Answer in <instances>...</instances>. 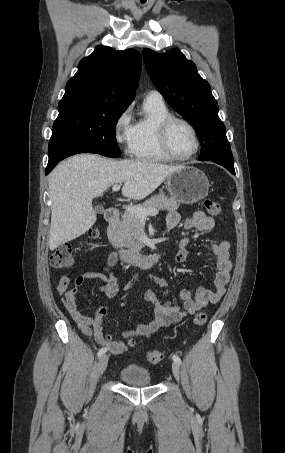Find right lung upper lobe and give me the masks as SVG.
<instances>
[{
	"instance_id": "right-lung-upper-lobe-1",
	"label": "right lung upper lobe",
	"mask_w": 285,
	"mask_h": 453,
	"mask_svg": "<svg viewBox=\"0 0 285 453\" xmlns=\"http://www.w3.org/2000/svg\"><path fill=\"white\" fill-rule=\"evenodd\" d=\"M140 71L138 51L97 46L91 55L80 61L60 102L99 101L127 108L135 98Z\"/></svg>"
}]
</instances>
